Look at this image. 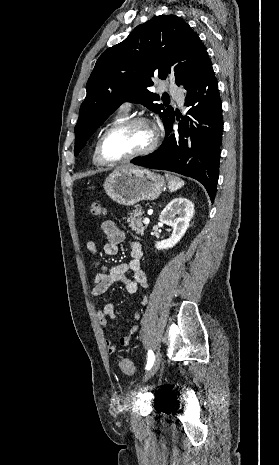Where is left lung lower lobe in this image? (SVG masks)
<instances>
[{"label":"left lung lower lobe","mask_w":279,"mask_h":465,"mask_svg":"<svg viewBox=\"0 0 279 465\" xmlns=\"http://www.w3.org/2000/svg\"><path fill=\"white\" fill-rule=\"evenodd\" d=\"M187 91V114L197 120L195 126L189 117L179 123L172 133L173 122L166 130L165 141L152 154L135 158V165L176 172L192 177L203 184L214 200L219 173L222 143V103L208 53L202 56L192 77L183 86Z\"/></svg>","instance_id":"left-lung-lower-lobe-1"}]
</instances>
